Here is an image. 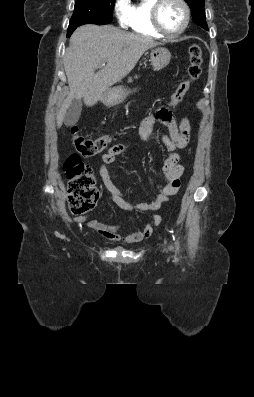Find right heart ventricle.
<instances>
[{
  "instance_id": "obj_1",
  "label": "right heart ventricle",
  "mask_w": 254,
  "mask_h": 397,
  "mask_svg": "<svg viewBox=\"0 0 254 397\" xmlns=\"http://www.w3.org/2000/svg\"><path fill=\"white\" fill-rule=\"evenodd\" d=\"M154 2L155 0H137L131 4L128 26L134 33L153 38L161 37L151 21V9Z\"/></svg>"
}]
</instances>
